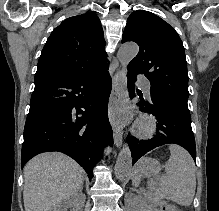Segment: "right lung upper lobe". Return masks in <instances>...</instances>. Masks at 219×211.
I'll return each mask as SVG.
<instances>
[{
  "label": "right lung upper lobe",
  "mask_w": 219,
  "mask_h": 211,
  "mask_svg": "<svg viewBox=\"0 0 219 211\" xmlns=\"http://www.w3.org/2000/svg\"><path fill=\"white\" fill-rule=\"evenodd\" d=\"M103 29L88 12L64 20L48 38L35 76L90 72L107 64Z\"/></svg>",
  "instance_id": "cb5924a9"
}]
</instances>
